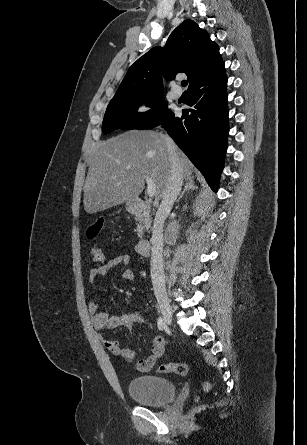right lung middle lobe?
<instances>
[{"instance_id": "right-lung-middle-lobe-1", "label": "right lung middle lobe", "mask_w": 307, "mask_h": 445, "mask_svg": "<svg viewBox=\"0 0 307 445\" xmlns=\"http://www.w3.org/2000/svg\"><path fill=\"white\" fill-rule=\"evenodd\" d=\"M141 104L153 109L139 113L137 109ZM166 106L163 93L113 99L105 112L102 131L108 134L116 129L154 128L172 114Z\"/></svg>"}]
</instances>
